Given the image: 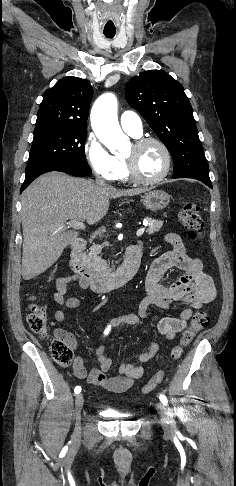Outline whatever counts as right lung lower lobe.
<instances>
[{
    "mask_svg": "<svg viewBox=\"0 0 236 486\" xmlns=\"http://www.w3.org/2000/svg\"><path fill=\"white\" fill-rule=\"evenodd\" d=\"M50 171H60L77 177H84L91 174L89 166L80 164L59 163L53 161L29 163L26 167L25 181L21 186L20 193L27 188L35 178Z\"/></svg>",
    "mask_w": 236,
    "mask_h": 486,
    "instance_id": "obj_1",
    "label": "right lung lower lobe"
}]
</instances>
